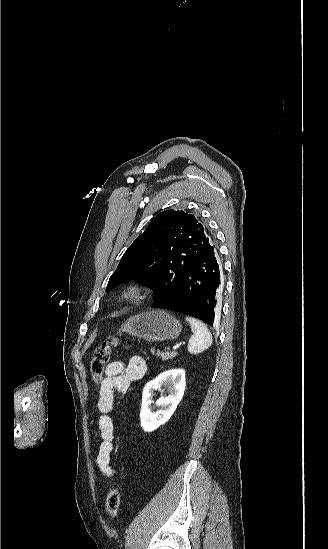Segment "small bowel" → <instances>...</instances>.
<instances>
[{
	"label": "small bowel",
	"mask_w": 328,
	"mask_h": 549,
	"mask_svg": "<svg viewBox=\"0 0 328 549\" xmlns=\"http://www.w3.org/2000/svg\"><path fill=\"white\" fill-rule=\"evenodd\" d=\"M146 368L145 360L137 355L131 356L126 363L119 360L112 361L105 368V378L101 382L97 401L101 442L96 463L102 474L108 478H112L116 474L111 465L114 424L110 416L114 406L115 392L126 393L134 381L144 377Z\"/></svg>",
	"instance_id": "c3829d8e"
}]
</instances>
